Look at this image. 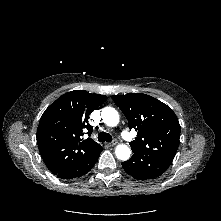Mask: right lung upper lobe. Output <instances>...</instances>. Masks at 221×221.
<instances>
[{
	"instance_id": "cb5924a9",
	"label": "right lung upper lobe",
	"mask_w": 221,
	"mask_h": 221,
	"mask_svg": "<svg viewBox=\"0 0 221 221\" xmlns=\"http://www.w3.org/2000/svg\"><path fill=\"white\" fill-rule=\"evenodd\" d=\"M106 99L104 95L74 90L59 97L45 110L37 130V144L53 174L101 147L91 138L82 136L86 132L91 135L93 127L88 124V117Z\"/></svg>"
}]
</instances>
